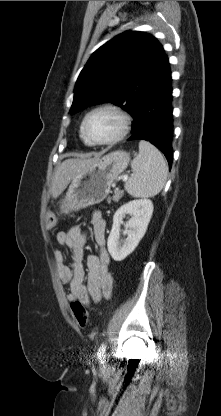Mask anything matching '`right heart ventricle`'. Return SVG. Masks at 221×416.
Returning <instances> with one entry per match:
<instances>
[{
    "label": "right heart ventricle",
    "mask_w": 221,
    "mask_h": 416,
    "mask_svg": "<svg viewBox=\"0 0 221 416\" xmlns=\"http://www.w3.org/2000/svg\"><path fill=\"white\" fill-rule=\"evenodd\" d=\"M82 137V136H81ZM82 140H83V142L85 143V144H89L83 137H82Z\"/></svg>",
    "instance_id": "obj_1"
}]
</instances>
